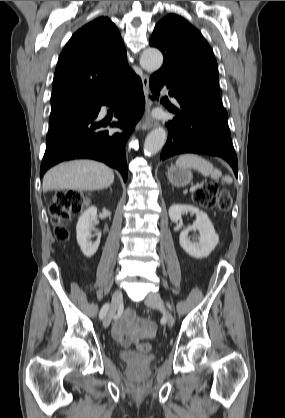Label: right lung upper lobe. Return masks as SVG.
Segmentation results:
<instances>
[{
	"mask_svg": "<svg viewBox=\"0 0 285 418\" xmlns=\"http://www.w3.org/2000/svg\"><path fill=\"white\" fill-rule=\"evenodd\" d=\"M133 75L117 27L99 17L79 29L60 54L52 108L106 99L124 89Z\"/></svg>",
	"mask_w": 285,
	"mask_h": 418,
	"instance_id": "1",
	"label": "right lung upper lobe"
}]
</instances>
